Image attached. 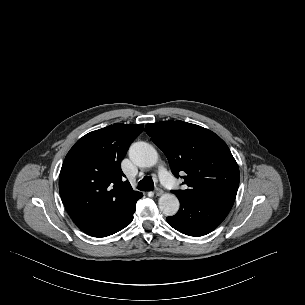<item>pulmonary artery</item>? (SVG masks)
Listing matches in <instances>:
<instances>
[{
  "label": "pulmonary artery",
  "mask_w": 305,
  "mask_h": 305,
  "mask_svg": "<svg viewBox=\"0 0 305 305\" xmlns=\"http://www.w3.org/2000/svg\"><path fill=\"white\" fill-rule=\"evenodd\" d=\"M159 178L166 187L171 188L175 184L173 177L165 167L159 169Z\"/></svg>",
  "instance_id": "obj_1"
}]
</instances>
